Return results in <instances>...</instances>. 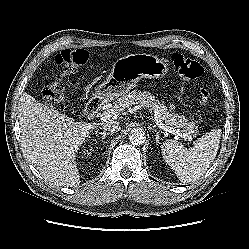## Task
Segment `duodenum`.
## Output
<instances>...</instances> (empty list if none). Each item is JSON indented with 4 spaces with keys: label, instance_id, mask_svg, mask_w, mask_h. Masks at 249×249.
<instances>
[{
    "label": "duodenum",
    "instance_id": "duodenum-1",
    "mask_svg": "<svg viewBox=\"0 0 249 249\" xmlns=\"http://www.w3.org/2000/svg\"><path fill=\"white\" fill-rule=\"evenodd\" d=\"M103 106V100L100 97H93L89 100L85 108L87 118H94Z\"/></svg>",
    "mask_w": 249,
    "mask_h": 249
}]
</instances>
